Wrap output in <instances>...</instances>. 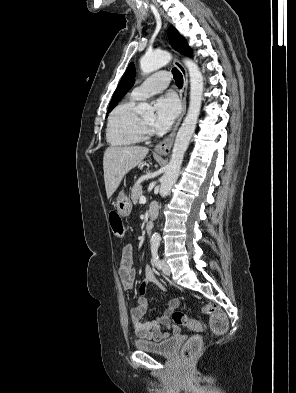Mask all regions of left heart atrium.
Returning a JSON list of instances; mask_svg holds the SVG:
<instances>
[{
    "label": "left heart atrium",
    "mask_w": 296,
    "mask_h": 393,
    "mask_svg": "<svg viewBox=\"0 0 296 393\" xmlns=\"http://www.w3.org/2000/svg\"><path fill=\"white\" fill-rule=\"evenodd\" d=\"M180 111V105L173 94L161 96L155 103V115L152 125L157 130L168 129Z\"/></svg>",
    "instance_id": "left-heart-atrium-1"
}]
</instances>
